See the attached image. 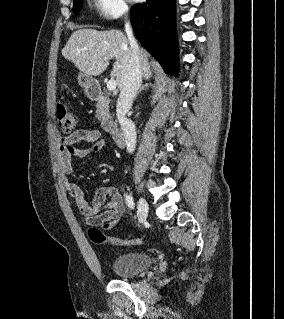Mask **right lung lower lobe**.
Segmentation results:
<instances>
[{"label":"right lung lower lobe","instance_id":"98d812e1","mask_svg":"<svg viewBox=\"0 0 284 319\" xmlns=\"http://www.w3.org/2000/svg\"><path fill=\"white\" fill-rule=\"evenodd\" d=\"M137 39L170 74L178 71L175 0H147L131 8Z\"/></svg>","mask_w":284,"mask_h":319}]
</instances>
